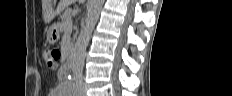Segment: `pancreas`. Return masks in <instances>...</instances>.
<instances>
[{
  "label": "pancreas",
  "instance_id": "obj_1",
  "mask_svg": "<svg viewBox=\"0 0 232 96\" xmlns=\"http://www.w3.org/2000/svg\"><path fill=\"white\" fill-rule=\"evenodd\" d=\"M72 12L70 9L65 10L63 15L61 16V23L59 24L60 31L62 33H67L72 31ZM76 35H74L73 40Z\"/></svg>",
  "mask_w": 232,
  "mask_h": 96
}]
</instances>
